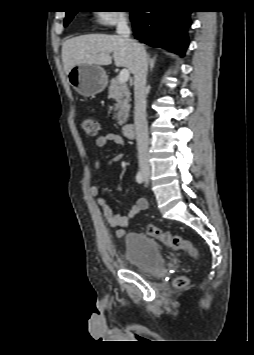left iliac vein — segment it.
I'll list each match as a JSON object with an SVG mask.
<instances>
[{
	"instance_id": "obj_1",
	"label": "left iliac vein",
	"mask_w": 254,
	"mask_h": 355,
	"mask_svg": "<svg viewBox=\"0 0 254 355\" xmlns=\"http://www.w3.org/2000/svg\"><path fill=\"white\" fill-rule=\"evenodd\" d=\"M144 181H145V184L149 183V174L145 175Z\"/></svg>"
}]
</instances>
